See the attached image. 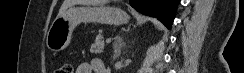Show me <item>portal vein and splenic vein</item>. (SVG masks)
<instances>
[{"mask_svg": "<svg viewBox=\"0 0 244 73\" xmlns=\"http://www.w3.org/2000/svg\"><path fill=\"white\" fill-rule=\"evenodd\" d=\"M106 43H111V39H106Z\"/></svg>", "mask_w": 244, "mask_h": 73, "instance_id": "18ae733b", "label": "portal vein and splenic vein"}]
</instances>
